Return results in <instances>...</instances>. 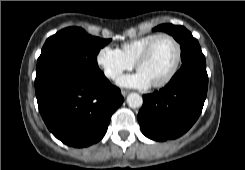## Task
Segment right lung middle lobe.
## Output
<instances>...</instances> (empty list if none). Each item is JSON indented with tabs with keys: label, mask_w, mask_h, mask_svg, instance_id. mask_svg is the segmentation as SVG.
Listing matches in <instances>:
<instances>
[{
	"label": "right lung middle lobe",
	"mask_w": 245,
	"mask_h": 170,
	"mask_svg": "<svg viewBox=\"0 0 245 170\" xmlns=\"http://www.w3.org/2000/svg\"><path fill=\"white\" fill-rule=\"evenodd\" d=\"M110 39L88 35L79 27L65 28L49 37L37 61L35 86L65 71H98L96 56Z\"/></svg>",
	"instance_id": "dd1d6c3e"
}]
</instances>
